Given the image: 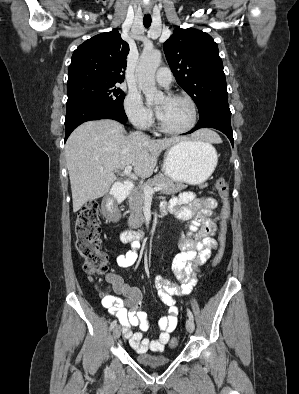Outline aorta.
Masks as SVG:
<instances>
[{
	"label": "aorta",
	"mask_w": 299,
	"mask_h": 394,
	"mask_svg": "<svg viewBox=\"0 0 299 394\" xmlns=\"http://www.w3.org/2000/svg\"><path fill=\"white\" fill-rule=\"evenodd\" d=\"M160 63L161 52L158 50L143 52L140 56L136 69L138 86L148 102L157 101L163 97V93L157 90L155 83V73Z\"/></svg>",
	"instance_id": "obj_1"
}]
</instances>
